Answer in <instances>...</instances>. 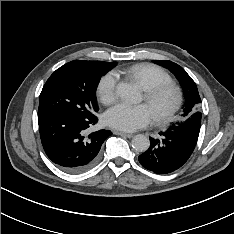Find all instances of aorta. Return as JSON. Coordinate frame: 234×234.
Returning <instances> with one entry per match:
<instances>
[{"instance_id": "762f6f07", "label": "aorta", "mask_w": 234, "mask_h": 234, "mask_svg": "<svg viewBox=\"0 0 234 234\" xmlns=\"http://www.w3.org/2000/svg\"><path fill=\"white\" fill-rule=\"evenodd\" d=\"M117 95L128 102H136L139 99L138 89L130 84L121 82L117 85ZM150 146L149 138L143 134L135 135L132 139V147L138 152H145Z\"/></svg>"}]
</instances>
